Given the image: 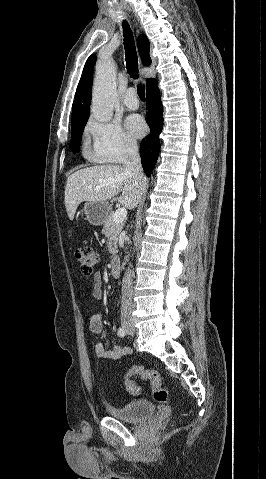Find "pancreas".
Listing matches in <instances>:
<instances>
[{"mask_svg":"<svg viewBox=\"0 0 266 479\" xmlns=\"http://www.w3.org/2000/svg\"><path fill=\"white\" fill-rule=\"evenodd\" d=\"M114 213H109L107 219L104 222L102 234L108 239V251L110 254L115 255L117 253V243L120 233L123 229V223H115L113 221Z\"/></svg>","mask_w":266,"mask_h":479,"instance_id":"cf45deb5","label":"pancreas"}]
</instances>
